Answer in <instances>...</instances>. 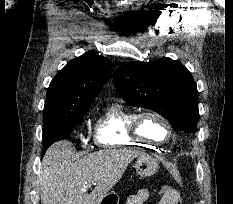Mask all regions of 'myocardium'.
I'll list each match as a JSON object with an SVG mask.
<instances>
[{
  "mask_svg": "<svg viewBox=\"0 0 233 204\" xmlns=\"http://www.w3.org/2000/svg\"><path fill=\"white\" fill-rule=\"evenodd\" d=\"M147 117H153L161 121L166 129H167V136L162 140L153 139L147 135H145L141 128L142 121ZM130 131L133 136H135L138 139L144 140L149 143L154 144H163L167 141H169L173 135V128L170 123V121L161 113L154 111V110H144L141 112H138L134 115L131 125H130Z\"/></svg>",
  "mask_w": 233,
  "mask_h": 204,
  "instance_id": "myocardium-1",
  "label": "myocardium"
}]
</instances>
